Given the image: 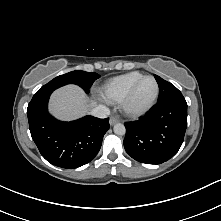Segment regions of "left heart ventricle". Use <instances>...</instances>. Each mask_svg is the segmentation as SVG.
Returning a JSON list of instances; mask_svg holds the SVG:
<instances>
[{
  "mask_svg": "<svg viewBox=\"0 0 221 221\" xmlns=\"http://www.w3.org/2000/svg\"><path fill=\"white\" fill-rule=\"evenodd\" d=\"M154 91L155 85L151 79L143 81L136 91L133 101L134 105L141 106L147 103L152 98Z\"/></svg>",
  "mask_w": 221,
  "mask_h": 221,
  "instance_id": "left-heart-ventricle-1",
  "label": "left heart ventricle"
}]
</instances>
